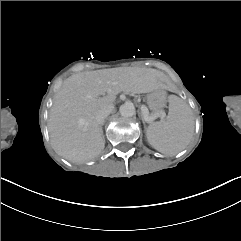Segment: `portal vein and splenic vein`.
Segmentation results:
<instances>
[{"instance_id": "obj_1", "label": "portal vein and splenic vein", "mask_w": 241, "mask_h": 241, "mask_svg": "<svg viewBox=\"0 0 241 241\" xmlns=\"http://www.w3.org/2000/svg\"><path fill=\"white\" fill-rule=\"evenodd\" d=\"M141 110V113H142V115L144 116V119H143V122L144 123H149V124H152L153 123V121L156 119V118H158V117H160L161 118V120H166V114H165V110H164V108H159V110H157V111H155V113H153V114H151V113H149L148 112V109L146 108V106H141V108H140Z\"/></svg>"}]
</instances>
